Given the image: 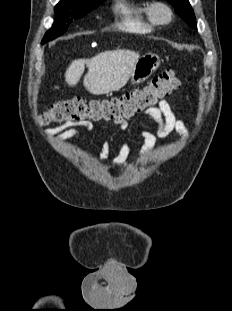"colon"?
<instances>
[{
  "label": "colon",
  "instance_id": "1",
  "mask_svg": "<svg viewBox=\"0 0 232 311\" xmlns=\"http://www.w3.org/2000/svg\"><path fill=\"white\" fill-rule=\"evenodd\" d=\"M180 85L174 70L167 69L144 87L134 88L112 99L85 101L71 97L54 103L41 113L42 125L83 121H121L154 107Z\"/></svg>",
  "mask_w": 232,
  "mask_h": 311
}]
</instances>
